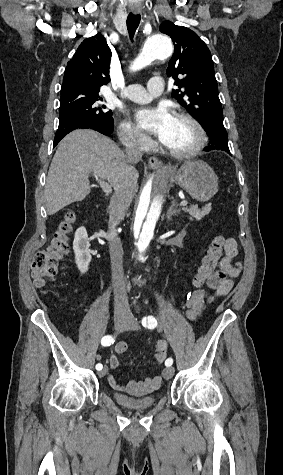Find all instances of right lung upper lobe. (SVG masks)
Returning a JSON list of instances; mask_svg holds the SVG:
<instances>
[{
	"instance_id": "cb5924a9",
	"label": "right lung upper lobe",
	"mask_w": 283,
	"mask_h": 475,
	"mask_svg": "<svg viewBox=\"0 0 283 475\" xmlns=\"http://www.w3.org/2000/svg\"><path fill=\"white\" fill-rule=\"evenodd\" d=\"M111 50L102 34L85 39L67 63L61 94L99 93L110 81Z\"/></svg>"
}]
</instances>
